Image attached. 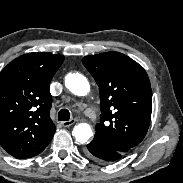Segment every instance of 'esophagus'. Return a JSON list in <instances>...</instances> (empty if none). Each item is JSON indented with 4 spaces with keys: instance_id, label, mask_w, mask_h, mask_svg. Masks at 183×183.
<instances>
[{
    "instance_id": "34e87169",
    "label": "esophagus",
    "mask_w": 183,
    "mask_h": 183,
    "mask_svg": "<svg viewBox=\"0 0 183 183\" xmlns=\"http://www.w3.org/2000/svg\"><path fill=\"white\" fill-rule=\"evenodd\" d=\"M75 122H76L75 119H71V120H68V121H62L61 124H62V126H64V127H70V126H72Z\"/></svg>"
}]
</instances>
